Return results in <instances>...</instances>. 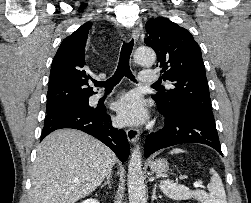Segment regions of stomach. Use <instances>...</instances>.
Segmentation results:
<instances>
[{"label":"stomach","instance_id":"1","mask_svg":"<svg viewBox=\"0 0 251 203\" xmlns=\"http://www.w3.org/2000/svg\"><path fill=\"white\" fill-rule=\"evenodd\" d=\"M150 169L155 173H164L169 169V163L165 159H156L150 162Z\"/></svg>","mask_w":251,"mask_h":203}]
</instances>
